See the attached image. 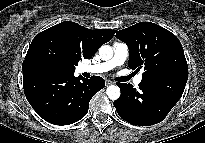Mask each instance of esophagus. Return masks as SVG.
<instances>
[{"label":"esophagus","instance_id":"obj_1","mask_svg":"<svg viewBox=\"0 0 205 143\" xmlns=\"http://www.w3.org/2000/svg\"><path fill=\"white\" fill-rule=\"evenodd\" d=\"M111 84H113L112 81H110V80H106V81H105V85H106V86H109V85H111Z\"/></svg>","mask_w":205,"mask_h":143}]
</instances>
